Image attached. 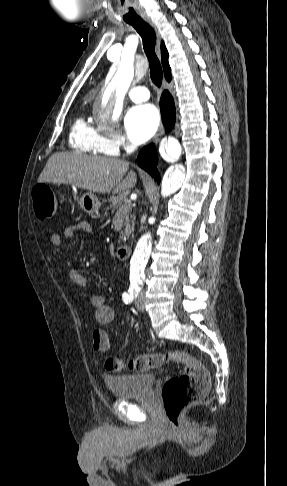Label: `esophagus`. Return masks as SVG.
I'll use <instances>...</instances> for the list:
<instances>
[{
	"mask_svg": "<svg viewBox=\"0 0 287 486\" xmlns=\"http://www.w3.org/2000/svg\"><path fill=\"white\" fill-rule=\"evenodd\" d=\"M144 21L147 22L152 28L153 30L155 31L156 33V37H157V46L159 48L160 46V42H161V38H160V35H159V31H158V28L156 26V24L149 18V17H143ZM164 133V128L161 126L158 133L156 134V136L154 137L153 139V142L156 143L160 136Z\"/></svg>",
	"mask_w": 287,
	"mask_h": 486,
	"instance_id": "34e87169",
	"label": "esophagus"
}]
</instances>
